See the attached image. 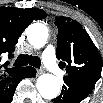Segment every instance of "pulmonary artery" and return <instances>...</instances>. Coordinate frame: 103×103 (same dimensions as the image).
I'll use <instances>...</instances> for the list:
<instances>
[{"instance_id":"obj_1","label":"pulmonary artery","mask_w":103,"mask_h":103,"mask_svg":"<svg viewBox=\"0 0 103 103\" xmlns=\"http://www.w3.org/2000/svg\"><path fill=\"white\" fill-rule=\"evenodd\" d=\"M43 60L46 67L55 75L62 76L64 72L59 68L55 58V52L52 45H48L43 51Z\"/></svg>"}]
</instances>
